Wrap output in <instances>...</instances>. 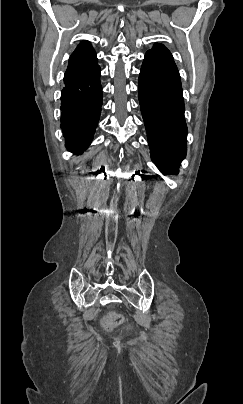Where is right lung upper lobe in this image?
<instances>
[{
	"mask_svg": "<svg viewBox=\"0 0 243 404\" xmlns=\"http://www.w3.org/2000/svg\"><path fill=\"white\" fill-rule=\"evenodd\" d=\"M97 65L96 53L88 41H82L72 53L64 80L83 74Z\"/></svg>",
	"mask_w": 243,
	"mask_h": 404,
	"instance_id": "1",
	"label": "right lung upper lobe"
}]
</instances>
